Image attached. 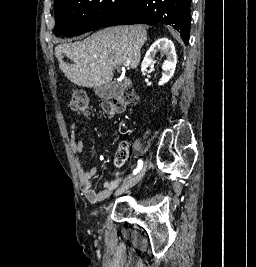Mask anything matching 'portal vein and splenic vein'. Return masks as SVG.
Returning <instances> with one entry per match:
<instances>
[{
    "instance_id": "obj_1",
    "label": "portal vein and splenic vein",
    "mask_w": 256,
    "mask_h": 267,
    "mask_svg": "<svg viewBox=\"0 0 256 267\" xmlns=\"http://www.w3.org/2000/svg\"><path fill=\"white\" fill-rule=\"evenodd\" d=\"M124 66H129V64H124Z\"/></svg>"
}]
</instances>
